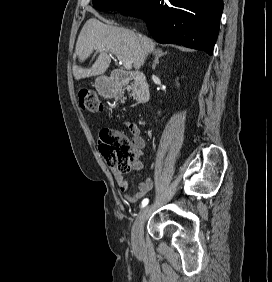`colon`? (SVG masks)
Here are the masks:
<instances>
[{
	"label": "colon",
	"instance_id": "colon-1",
	"mask_svg": "<svg viewBox=\"0 0 272 282\" xmlns=\"http://www.w3.org/2000/svg\"><path fill=\"white\" fill-rule=\"evenodd\" d=\"M78 101L83 110L92 113H99L103 110L99 97L90 89H81ZM98 140L101 155L106 163L122 174L129 172L138 155L132 143L120 132L109 128L100 130Z\"/></svg>",
	"mask_w": 272,
	"mask_h": 282
}]
</instances>
